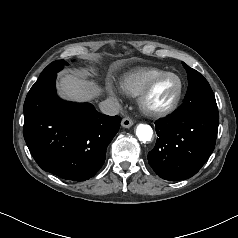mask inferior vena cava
I'll list each match as a JSON object with an SVG mask.
<instances>
[{"instance_id":"602c4592","label":"inferior vena cava","mask_w":238,"mask_h":238,"mask_svg":"<svg viewBox=\"0 0 238 238\" xmlns=\"http://www.w3.org/2000/svg\"><path fill=\"white\" fill-rule=\"evenodd\" d=\"M99 108L103 114L112 116L119 113L121 106L116 98H108L99 104Z\"/></svg>"}]
</instances>
